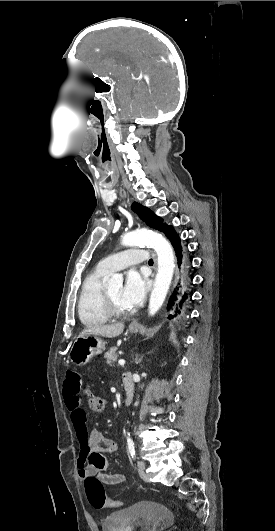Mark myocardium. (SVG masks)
<instances>
[{
	"instance_id": "1",
	"label": "myocardium",
	"mask_w": 275,
	"mask_h": 531,
	"mask_svg": "<svg viewBox=\"0 0 275 531\" xmlns=\"http://www.w3.org/2000/svg\"><path fill=\"white\" fill-rule=\"evenodd\" d=\"M103 302L107 313L112 317H122L129 313L130 309L127 311H120L114 304V301L110 293L103 287Z\"/></svg>"
}]
</instances>
